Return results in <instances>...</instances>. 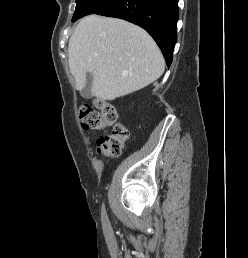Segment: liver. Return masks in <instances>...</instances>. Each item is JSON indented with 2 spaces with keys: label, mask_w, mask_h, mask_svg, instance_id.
I'll return each instance as SVG.
<instances>
[{
  "label": "liver",
  "mask_w": 248,
  "mask_h": 258,
  "mask_svg": "<svg viewBox=\"0 0 248 258\" xmlns=\"http://www.w3.org/2000/svg\"><path fill=\"white\" fill-rule=\"evenodd\" d=\"M69 68L82 90L92 74L91 94L114 100L157 80L163 55L142 28L127 21L89 15L80 20L68 44Z\"/></svg>",
  "instance_id": "1"
}]
</instances>
